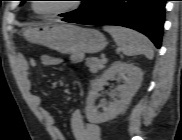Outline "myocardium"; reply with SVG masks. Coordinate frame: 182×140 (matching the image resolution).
I'll return each mask as SVG.
<instances>
[{
    "instance_id": "1",
    "label": "myocardium",
    "mask_w": 182,
    "mask_h": 140,
    "mask_svg": "<svg viewBox=\"0 0 182 140\" xmlns=\"http://www.w3.org/2000/svg\"><path fill=\"white\" fill-rule=\"evenodd\" d=\"M74 3H71L69 7L62 9V10H58V11H54V12H50V13H41L37 7L36 4H33V11L41 18H45V19H49V18H54L66 13H70L72 11L77 10L80 7V4L78 1H73Z\"/></svg>"
}]
</instances>
